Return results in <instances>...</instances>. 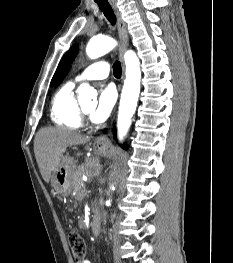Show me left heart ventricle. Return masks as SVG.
Here are the masks:
<instances>
[{"instance_id":"obj_1","label":"left heart ventricle","mask_w":233,"mask_h":263,"mask_svg":"<svg viewBox=\"0 0 233 263\" xmlns=\"http://www.w3.org/2000/svg\"><path fill=\"white\" fill-rule=\"evenodd\" d=\"M92 109H93V104L87 105V106L84 107V110H85L87 113H90V112L92 111Z\"/></svg>"}]
</instances>
